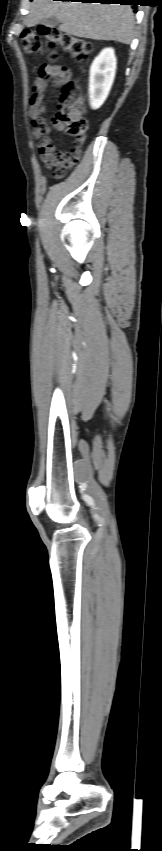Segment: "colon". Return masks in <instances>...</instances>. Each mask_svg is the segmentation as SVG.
Here are the masks:
<instances>
[{
	"mask_svg": "<svg viewBox=\"0 0 162 851\" xmlns=\"http://www.w3.org/2000/svg\"><path fill=\"white\" fill-rule=\"evenodd\" d=\"M42 39L45 40L48 58L52 61L58 57V50L68 53L77 61L87 59L93 49L91 42L66 33L55 26H44L38 32L26 30L21 36L22 46L27 54H37L43 49ZM57 123L66 134L74 138L75 147L69 153L65 162L54 169V175L62 178L68 169L75 165L80 158V147L85 139L87 120L84 117L83 95L79 86L72 81L64 85L58 104Z\"/></svg>",
	"mask_w": 162,
	"mask_h": 851,
	"instance_id": "5ec220e1",
	"label": "colon"
}]
</instances>
